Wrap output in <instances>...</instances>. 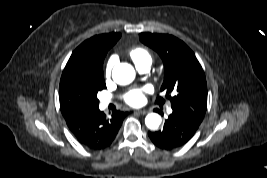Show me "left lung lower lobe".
<instances>
[{"mask_svg":"<svg viewBox=\"0 0 267 178\" xmlns=\"http://www.w3.org/2000/svg\"><path fill=\"white\" fill-rule=\"evenodd\" d=\"M200 124L201 122L183 111L173 109V112L165 121L163 129L148 132V135L157 147L172 150L186 144L194 136Z\"/></svg>","mask_w":267,"mask_h":178,"instance_id":"obj_1","label":"left lung lower lobe"}]
</instances>
